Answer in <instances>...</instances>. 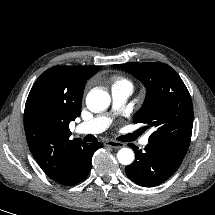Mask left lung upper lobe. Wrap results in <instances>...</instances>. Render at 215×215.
<instances>
[{
    "mask_svg": "<svg viewBox=\"0 0 215 215\" xmlns=\"http://www.w3.org/2000/svg\"><path fill=\"white\" fill-rule=\"evenodd\" d=\"M113 67L133 73L146 87L145 101L133 121L155 128L149 143L182 161L191 140L193 106L180 76L169 65L157 62Z\"/></svg>",
    "mask_w": 215,
    "mask_h": 215,
    "instance_id": "1",
    "label": "left lung upper lobe"
}]
</instances>
